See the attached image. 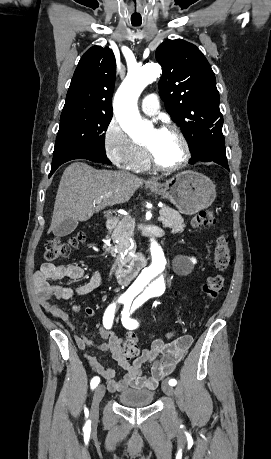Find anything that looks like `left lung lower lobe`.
Returning <instances> with one entry per match:
<instances>
[{"mask_svg": "<svg viewBox=\"0 0 271 459\" xmlns=\"http://www.w3.org/2000/svg\"><path fill=\"white\" fill-rule=\"evenodd\" d=\"M198 161H213L229 170L225 153V139L222 133V127L214 129L210 134L207 135L205 150L198 159L191 160L190 164H194Z\"/></svg>", "mask_w": 271, "mask_h": 459, "instance_id": "0a47b994", "label": "left lung lower lobe"}]
</instances>
